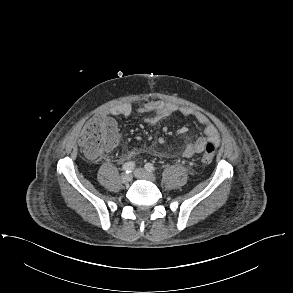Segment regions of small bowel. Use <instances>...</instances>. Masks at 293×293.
Segmentation results:
<instances>
[{"label": "small bowel", "instance_id": "1", "mask_svg": "<svg viewBox=\"0 0 293 293\" xmlns=\"http://www.w3.org/2000/svg\"><path fill=\"white\" fill-rule=\"evenodd\" d=\"M134 110L151 113V117L146 119V122L150 125H156L176 112H179L184 116L192 115V112L188 109H178L175 106L158 101L144 102L137 107H134L130 103L114 105L104 112V115L127 117L131 115ZM194 116L198 124L203 128V135L198 137L194 142L188 143L183 148L182 155L186 158L193 157L194 155L203 152L208 143H213L216 146L220 143L218 130L210 119L202 113H196ZM135 155V151H129L125 154V158H131Z\"/></svg>", "mask_w": 293, "mask_h": 293}]
</instances>
